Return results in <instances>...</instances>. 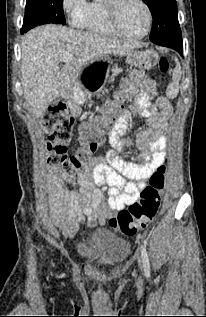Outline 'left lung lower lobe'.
<instances>
[{
	"instance_id": "1",
	"label": "left lung lower lobe",
	"mask_w": 206,
	"mask_h": 317,
	"mask_svg": "<svg viewBox=\"0 0 206 317\" xmlns=\"http://www.w3.org/2000/svg\"><path fill=\"white\" fill-rule=\"evenodd\" d=\"M161 46H166L169 48H172L179 52L180 55L183 54V44L182 43H176V42H164V43H155Z\"/></svg>"
}]
</instances>
